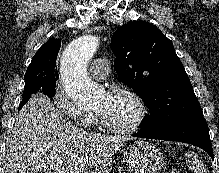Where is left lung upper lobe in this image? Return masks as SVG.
<instances>
[{
	"instance_id": "obj_1",
	"label": "left lung upper lobe",
	"mask_w": 219,
	"mask_h": 173,
	"mask_svg": "<svg viewBox=\"0 0 219 173\" xmlns=\"http://www.w3.org/2000/svg\"><path fill=\"white\" fill-rule=\"evenodd\" d=\"M111 49L119 79L151 110L139 131L161 133L204 118L173 43L158 28L144 21L129 22L113 33Z\"/></svg>"
}]
</instances>
